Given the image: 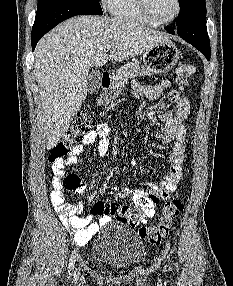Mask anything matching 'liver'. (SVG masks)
<instances>
[{"label":"liver","instance_id":"1","mask_svg":"<svg viewBox=\"0 0 233 286\" xmlns=\"http://www.w3.org/2000/svg\"><path fill=\"white\" fill-rule=\"evenodd\" d=\"M168 40L132 20L98 16L73 17L46 34L35 50L34 74L41 89L47 149L56 146L80 110L91 67L123 61Z\"/></svg>","mask_w":233,"mask_h":286}]
</instances>
